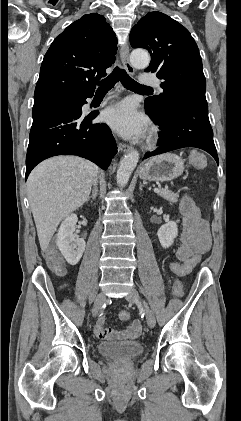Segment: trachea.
I'll return each instance as SVG.
<instances>
[{"label": "trachea", "instance_id": "3493384b", "mask_svg": "<svg viewBox=\"0 0 241 421\" xmlns=\"http://www.w3.org/2000/svg\"><path fill=\"white\" fill-rule=\"evenodd\" d=\"M121 81L122 85L133 91H145L151 89L150 87L140 85L135 80H133L125 70L116 67L113 72L104 80L99 83V88L97 92H108L114 87L116 82Z\"/></svg>", "mask_w": 241, "mask_h": 421}]
</instances>
